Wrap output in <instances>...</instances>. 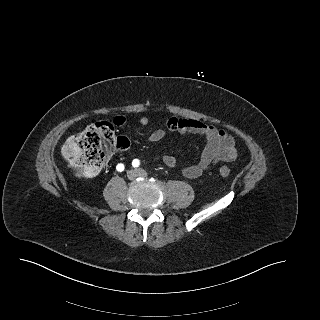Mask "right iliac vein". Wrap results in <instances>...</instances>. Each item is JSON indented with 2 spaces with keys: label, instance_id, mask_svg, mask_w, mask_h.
<instances>
[{
  "label": "right iliac vein",
  "instance_id": "right-iliac-vein-1",
  "mask_svg": "<svg viewBox=\"0 0 320 320\" xmlns=\"http://www.w3.org/2000/svg\"><path fill=\"white\" fill-rule=\"evenodd\" d=\"M137 176L138 175L135 170H130L127 172V177L129 180H134Z\"/></svg>",
  "mask_w": 320,
  "mask_h": 320
}]
</instances>
